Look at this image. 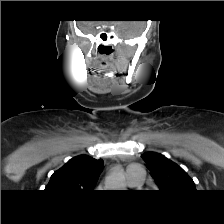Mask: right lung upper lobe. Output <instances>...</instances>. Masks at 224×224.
Instances as JSON below:
<instances>
[{
    "label": "right lung upper lobe",
    "mask_w": 224,
    "mask_h": 224,
    "mask_svg": "<svg viewBox=\"0 0 224 224\" xmlns=\"http://www.w3.org/2000/svg\"><path fill=\"white\" fill-rule=\"evenodd\" d=\"M102 167V159L74 157L52 174L46 189L62 193L93 191Z\"/></svg>",
    "instance_id": "cb5924a9"
}]
</instances>
